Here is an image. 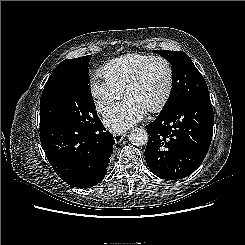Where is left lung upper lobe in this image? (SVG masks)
Listing matches in <instances>:
<instances>
[{"label": "left lung upper lobe", "instance_id": "left-lung-upper-lobe-1", "mask_svg": "<svg viewBox=\"0 0 245 245\" xmlns=\"http://www.w3.org/2000/svg\"><path fill=\"white\" fill-rule=\"evenodd\" d=\"M154 53L164 57L173 67L172 90L160 115L172 112L195 95L208 94V87L203 76L186 53L169 50H154Z\"/></svg>", "mask_w": 245, "mask_h": 245}]
</instances>
